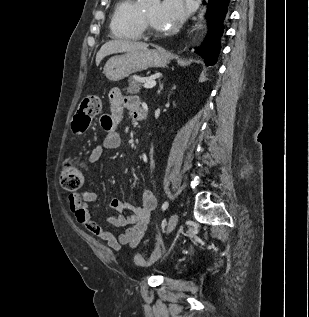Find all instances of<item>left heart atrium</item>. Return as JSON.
Wrapping results in <instances>:
<instances>
[{
  "label": "left heart atrium",
  "mask_w": 309,
  "mask_h": 317,
  "mask_svg": "<svg viewBox=\"0 0 309 317\" xmlns=\"http://www.w3.org/2000/svg\"><path fill=\"white\" fill-rule=\"evenodd\" d=\"M185 0H163L158 13V22L163 30H173L186 16Z\"/></svg>",
  "instance_id": "left-heart-atrium-1"
}]
</instances>
